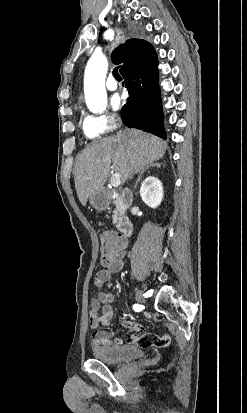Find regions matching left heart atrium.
<instances>
[{
  "mask_svg": "<svg viewBox=\"0 0 247 413\" xmlns=\"http://www.w3.org/2000/svg\"><path fill=\"white\" fill-rule=\"evenodd\" d=\"M122 104H123V100L119 95H114L111 98V106L114 109H119L122 106Z\"/></svg>",
  "mask_w": 247,
  "mask_h": 413,
  "instance_id": "1",
  "label": "left heart atrium"
}]
</instances>
